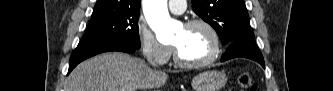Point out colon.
I'll return each mask as SVG.
<instances>
[{
    "label": "colon",
    "mask_w": 333,
    "mask_h": 91,
    "mask_svg": "<svg viewBox=\"0 0 333 91\" xmlns=\"http://www.w3.org/2000/svg\"><path fill=\"white\" fill-rule=\"evenodd\" d=\"M238 84L242 90L255 91L256 86L253 83L252 77L248 73H242L238 77Z\"/></svg>",
    "instance_id": "colon-1"
}]
</instances>
